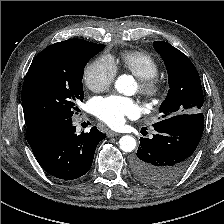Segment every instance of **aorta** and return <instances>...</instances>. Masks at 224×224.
<instances>
[{"label": "aorta", "instance_id": "obj_1", "mask_svg": "<svg viewBox=\"0 0 224 224\" xmlns=\"http://www.w3.org/2000/svg\"><path fill=\"white\" fill-rule=\"evenodd\" d=\"M133 80L130 76L122 75L115 82V88L119 93L129 94L132 89ZM120 149L124 152H131L136 147V140L130 135H125L119 140Z\"/></svg>", "mask_w": 224, "mask_h": 224}]
</instances>
